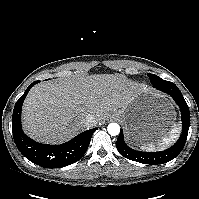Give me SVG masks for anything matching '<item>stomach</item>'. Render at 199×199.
I'll use <instances>...</instances> for the list:
<instances>
[{
    "label": "stomach",
    "mask_w": 199,
    "mask_h": 199,
    "mask_svg": "<svg viewBox=\"0 0 199 199\" xmlns=\"http://www.w3.org/2000/svg\"><path fill=\"white\" fill-rule=\"evenodd\" d=\"M166 111L170 110L163 99L145 91L114 114L124 124L129 142L143 144L166 132L172 122V114L166 115Z\"/></svg>",
    "instance_id": "0dacf381"
}]
</instances>
